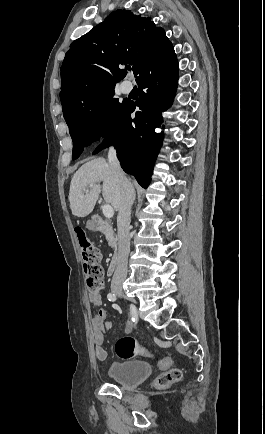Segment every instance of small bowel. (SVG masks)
Listing matches in <instances>:
<instances>
[{"label":"small bowel","mask_w":265,"mask_h":434,"mask_svg":"<svg viewBox=\"0 0 265 434\" xmlns=\"http://www.w3.org/2000/svg\"><path fill=\"white\" fill-rule=\"evenodd\" d=\"M88 301L97 307L96 311L92 314V339L94 344V361L102 363L107 358V352L103 346L107 331L111 328L112 322L108 321V312L102 308V298L99 295L89 293L87 296ZM172 359L163 358L157 361V366L160 370H168L172 366Z\"/></svg>","instance_id":"1"}]
</instances>
